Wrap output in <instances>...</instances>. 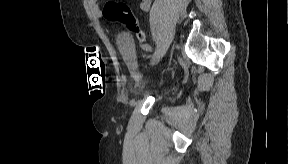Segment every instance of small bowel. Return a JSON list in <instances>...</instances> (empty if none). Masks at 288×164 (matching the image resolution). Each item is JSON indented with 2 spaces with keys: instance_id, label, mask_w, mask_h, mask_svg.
<instances>
[{
  "instance_id": "c3829d8e",
  "label": "small bowel",
  "mask_w": 288,
  "mask_h": 164,
  "mask_svg": "<svg viewBox=\"0 0 288 164\" xmlns=\"http://www.w3.org/2000/svg\"><path fill=\"white\" fill-rule=\"evenodd\" d=\"M141 9L147 10L150 7V3L148 1H144L140 4Z\"/></svg>"
}]
</instances>
